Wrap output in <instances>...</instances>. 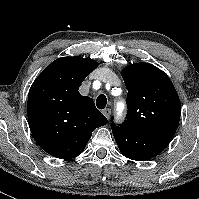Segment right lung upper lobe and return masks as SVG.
I'll list each match as a JSON object with an SVG mask.
<instances>
[{
    "instance_id": "1",
    "label": "right lung upper lobe",
    "mask_w": 199,
    "mask_h": 199,
    "mask_svg": "<svg viewBox=\"0 0 199 199\" xmlns=\"http://www.w3.org/2000/svg\"><path fill=\"white\" fill-rule=\"evenodd\" d=\"M98 63L80 56L62 57L48 65L28 94V123L38 145L48 154L71 159L81 154L92 132L108 120L93 100L78 89Z\"/></svg>"
}]
</instances>
